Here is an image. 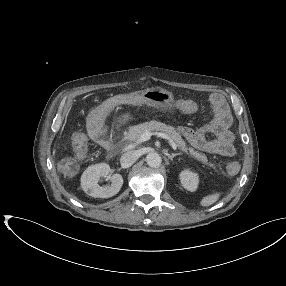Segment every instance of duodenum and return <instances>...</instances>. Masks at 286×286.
<instances>
[{"label": "duodenum", "mask_w": 286, "mask_h": 286, "mask_svg": "<svg viewBox=\"0 0 286 286\" xmlns=\"http://www.w3.org/2000/svg\"><path fill=\"white\" fill-rule=\"evenodd\" d=\"M104 123V120L103 119H100L99 121H98V124H99V129H98V132L100 133V134H104V131L102 130V127H101V125Z\"/></svg>", "instance_id": "1"}]
</instances>
